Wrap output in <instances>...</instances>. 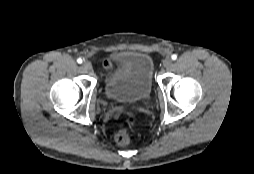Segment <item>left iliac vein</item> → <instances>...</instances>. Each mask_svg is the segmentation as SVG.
Segmentation results:
<instances>
[{
	"label": "left iliac vein",
	"mask_w": 254,
	"mask_h": 174,
	"mask_svg": "<svg viewBox=\"0 0 254 174\" xmlns=\"http://www.w3.org/2000/svg\"><path fill=\"white\" fill-rule=\"evenodd\" d=\"M163 65L165 68L169 69L172 66V59L171 58H166L163 62Z\"/></svg>",
	"instance_id": "left-iliac-vein-1"
}]
</instances>
